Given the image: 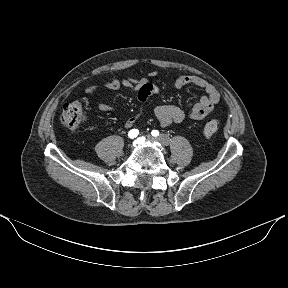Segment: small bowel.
Listing matches in <instances>:
<instances>
[{"instance_id": "small-bowel-1", "label": "small bowel", "mask_w": 288, "mask_h": 288, "mask_svg": "<svg viewBox=\"0 0 288 288\" xmlns=\"http://www.w3.org/2000/svg\"><path fill=\"white\" fill-rule=\"evenodd\" d=\"M156 76V72H150L148 77L141 79L127 76L123 79L113 78L104 83V87L110 90H117L121 87H125L137 92L140 108L135 115L129 117L124 122L125 128H133L144 111V103L147 99L153 95L159 94V87L149 81V78H154ZM173 84L177 89H181L187 85L198 87L205 92V95L199 98L188 113H185L177 106L158 105L154 112L162 127H170L179 124L186 118L190 120H202L215 109L220 100V95L216 88L201 77L195 75H178L175 77ZM86 92L94 97L97 93V86L88 87ZM96 105L105 113L114 112V108L104 102L96 101Z\"/></svg>"}]
</instances>
